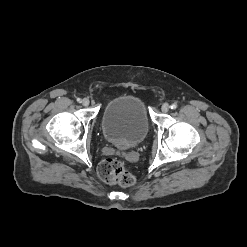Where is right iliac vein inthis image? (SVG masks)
<instances>
[{
	"mask_svg": "<svg viewBox=\"0 0 247 247\" xmlns=\"http://www.w3.org/2000/svg\"><path fill=\"white\" fill-rule=\"evenodd\" d=\"M81 103L83 106L87 107L89 105L90 101L88 98H84Z\"/></svg>",
	"mask_w": 247,
	"mask_h": 247,
	"instance_id": "obj_1",
	"label": "right iliac vein"
}]
</instances>
